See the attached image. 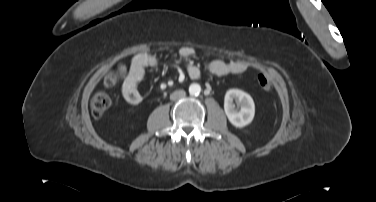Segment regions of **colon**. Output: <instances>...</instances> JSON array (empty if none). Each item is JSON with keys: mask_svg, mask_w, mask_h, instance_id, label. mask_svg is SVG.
<instances>
[{"mask_svg": "<svg viewBox=\"0 0 376 202\" xmlns=\"http://www.w3.org/2000/svg\"><path fill=\"white\" fill-rule=\"evenodd\" d=\"M118 82V76L110 72L108 73L103 80V84L107 88L114 87ZM257 85L262 90H269L271 88V80L268 76L260 74L257 77ZM111 99L109 95L105 92L99 91L96 92L90 101L91 112L94 117H101L110 107Z\"/></svg>", "mask_w": 376, "mask_h": 202, "instance_id": "5ec220e1", "label": "colon"}]
</instances>
